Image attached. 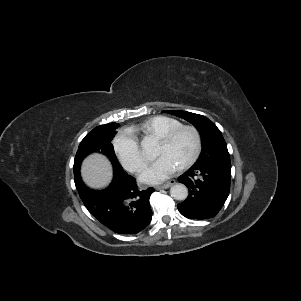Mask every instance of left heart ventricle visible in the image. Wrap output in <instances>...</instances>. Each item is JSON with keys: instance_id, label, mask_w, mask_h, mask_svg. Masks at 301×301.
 <instances>
[{"instance_id": "obj_1", "label": "left heart ventricle", "mask_w": 301, "mask_h": 301, "mask_svg": "<svg viewBox=\"0 0 301 301\" xmlns=\"http://www.w3.org/2000/svg\"><path fill=\"white\" fill-rule=\"evenodd\" d=\"M194 146L195 141L192 133L185 131L171 143L159 140L156 155H166L181 165L192 154Z\"/></svg>"}]
</instances>
